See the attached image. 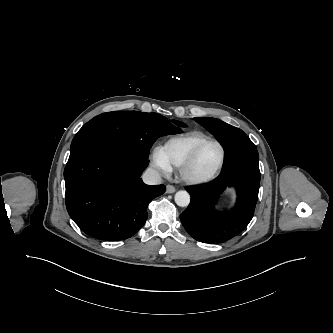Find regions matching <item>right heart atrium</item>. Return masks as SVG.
<instances>
[{
	"label": "right heart atrium",
	"instance_id": "right-heart-atrium-1",
	"mask_svg": "<svg viewBox=\"0 0 333 333\" xmlns=\"http://www.w3.org/2000/svg\"><path fill=\"white\" fill-rule=\"evenodd\" d=\"M151 165L162 175H169L172 171L170 165L163 159L159 150H154L151 155Z\"/></svg>",
	"mask_w": 333,
	"mask_h": 333
}]
</instances>
